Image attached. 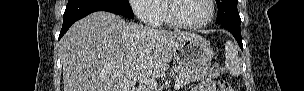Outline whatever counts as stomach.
Here are the masks:
<instances>
[{
    "instance_id": "0dacf381",
    "label": "stomach",
    "mask_w": 304,
    "mask_h": 91,
    "mask_svg": "<svg viewBox=\"0 0 304 91\" xmlns=\"http://www.w3.org/2000/svg\"><path fill=\"white\" fill-rule=\"evenodd\" d=\"M173 54L179 64L194 69L205 67L214 56L210 43L200 36L187 38Z\"/></svg>"
}]
</instances>
